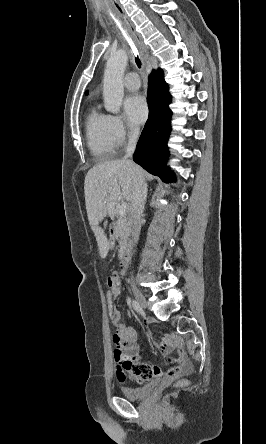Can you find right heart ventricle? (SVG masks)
Segmentation results:
<instances>
[{
  "label": "right heart ventricle",
  "instance_id": "right-heart-ventricle-1",
  "mask_svg": "<svg viewBox=\"0 0 266 444\" xmlns=\"http://www.w3.org/2000/svg\"><path fill=\"white\" fill-rule=\"evenodd\" d=\"M85 133L88 147L95 157L106 159L114 155L116 144L111 135L109 117L95 107H91L87 114Z\"/></svg>",
  "mask_w": 266,
  "mask_h": 444
}]
</instances>
